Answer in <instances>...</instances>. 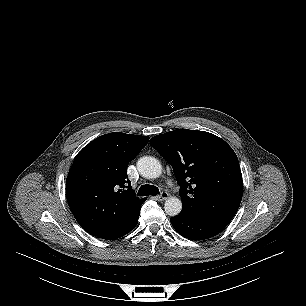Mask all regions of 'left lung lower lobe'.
<instances>
[{
  "mask_svg": "<svg viewBox=\"0 0 306 306\" xmlns=\"http://www.w3.org/2000/svg\"><path fill=\"white\" fill-rule=\"evenodd\" d=\"M174 229L183 237L204 240L220 233L229 221L197 216L185 211L170 219Z\"/></svg>",
  "mask_w": 306,
  "mask_h": 306,
  "instance_id": "obj_1",
  "label": "left lung lower lobe"
}]
</instances>
